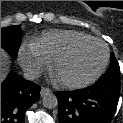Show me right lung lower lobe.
<instances>
[{
  "instance_id": "1",
  "label": "right lung lower lobe",
  "mask_w": 123,
  "mask_h": 123,
  "mask_svg": "<svg viewBox=\"0 0 123 123\" xmlns=\"http://www.w3.org/2000/svg\"><path fill=\"white\" fill-rule=\"evenodd\" d=\"M39 98V85L10 73L1 84V123H25L26 110Z\"/></svg>"
}]
</instances>
